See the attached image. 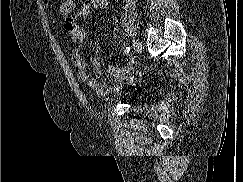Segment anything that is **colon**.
Segmentation results:
<instances>
[{
  "label": "colon",
  "instance_id": "1",
  "mask_svg": "<svg viewBox=\"0 0 243 182\" xmlns=\"http://www.w3.org/2000/svg\"><path fill=\"white\" fill-rule=\"evenodd\" d=\"M60 12L63 15H71L75 10V0H64L60 4Z\"/></svg>",
  "mask_w": 243,
  "mask_h": 182
}]
</instances>
